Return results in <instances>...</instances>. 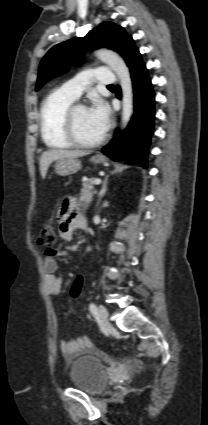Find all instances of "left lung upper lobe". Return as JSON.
I'll return each mask as SVG.
<instances>
[{"mask_svg":"<svg viewBox=\"0 0 208 425\" xmlns=\"http://www.w3.org/2000/svg\"><path fill=\"white\" fill-rule=\"evenodd\" d=\"M100 47L119 53L128 67L140 57L132 37L122 27L104 22L83 38H74L53 46L40 63L36 90L50 78L66 72L71 64L81 62L86 51Z\"/></svg>","mask_w":208,"mask_h":425,"instance_id":"1","label":"left lung upper lobe"}]
</instances>
